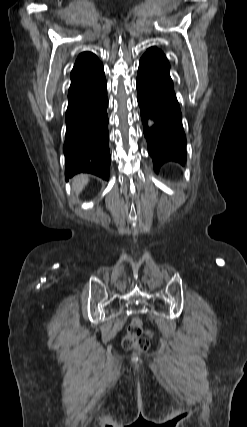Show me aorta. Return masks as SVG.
<instances>
[{"label": "aorta", "mask_w": 247, "mask_h": 427, "mask_svg": "<svg viewBox=\"0 0 247 427\" xmlns=\"http://www.w3.org/2000/svg\"><path fill=\"white\" fill-rule=\"evenodd\" d=\"M149 125L152 126L153 125V121H149Z\"/></svg>", "instance_id": "obj_1"}]
</instances>
